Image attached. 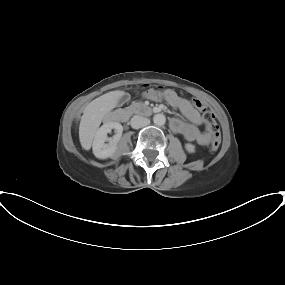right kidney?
Here are the masks:
<instances>
[{"instance_id": "right-kidney-1", "label": "right kidney", "mask_w": 285, "mask_h": 285, "mask_svg": "<svg viewBox=\"0 0 285 285\" xmlns=\"http://www.w3.org/2000/svg\"><path fill=\"white\" fill-rule=\"evenodd\" d=\"M115 129V136L110 140L109 144L105 142L108 140L107 133ZM123 132V127L118 122H107L103 124L96 132L92 149L95 157L99 159H106L112 157L117 151V143L119 142Z\"/></svg>"}]
</instances>
